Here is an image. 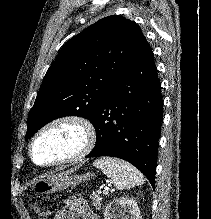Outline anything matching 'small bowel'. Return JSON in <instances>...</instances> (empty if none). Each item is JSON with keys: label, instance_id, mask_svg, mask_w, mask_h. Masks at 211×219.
I'll list each match as a JSON object with an SVG mask.
<instances>
[{"label": "small bowel", "instance_id": "obj_1", "mask_svg": "<svg viewBox=\"0 0 211 219\" xmlns=\"http://www.w3.org/2000/svg\"><path fill=\"white\" fill-rule=\"evenodd\" d=\"M53 219H99L89 207L86 200L80 196H72L66 200Z\"/></svg>", "mask_w": 211, "mask_h": 219}]
</instances>
